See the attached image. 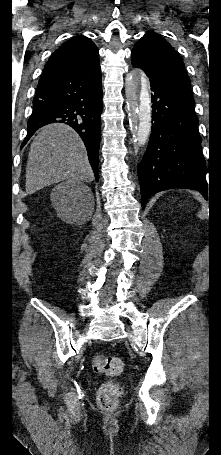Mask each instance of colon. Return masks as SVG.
Listing matches in <instances>:
<instances>
[{"label":"colon","instance_id":"colon-1","mask_svg":"<svg viewBox=\"0 0 221 455\" xmlns=\"http://www.w3.org/2000/svg\"><path fill=\"white\" fill-rule=\"evenodd\" d=\"M92 367L95 371L107 376H118L123 368L122 360L117 356L98 355L92 359ZM122 389L118 383H104L97 394L99 406L104 410H113L118 404Z\"/></svg>","mask_w":221,"mask_h":455}]
</instances>
